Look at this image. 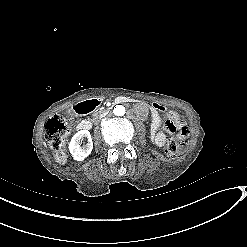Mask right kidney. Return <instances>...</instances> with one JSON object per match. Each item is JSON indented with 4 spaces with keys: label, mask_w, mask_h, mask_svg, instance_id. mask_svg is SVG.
Listing matches in <instances>:
<instances>
[{
    "label": "right kidney",
    "mask_w": 247,
    "mask_h": 247,
    "mask_svg": "<svg viewBox=\"0 0 247 247\" xmlns=\"http://www.w3.org/2000/svg\"><path fill=\"white\" fill-rule=\"evenodd\" d=\"M84 138L88 139V143L86 145L81 146L82 140ZM93 149V142L91 138V134L88 130H80L74 134L70 143H69V151L73 156L74 160L83 161L87 156L91 154Z\"/></svg>",
    "instance_id": "obj_1"
}]
</instances>
